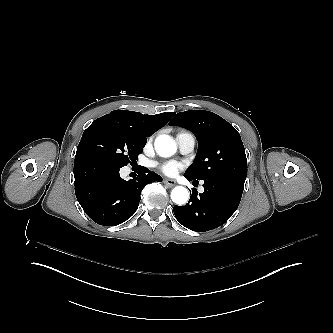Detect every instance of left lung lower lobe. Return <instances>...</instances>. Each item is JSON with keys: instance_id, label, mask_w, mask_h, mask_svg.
Instances as JSON below:
<instances>
[{"instance_id": "left-lung-lower-lobe-1", "label": "left lung lower lobe", "mask_w": 333, "mask_h": 333, "mask_svg": "<svg viewBox=\"0 0 333 333\" xmlns=\"http://www.w3.org/2000/svg\"><path fill=\"white\" fill-rule=\"evenodd\" d=\"M185 176V175H184ZM189 181L198 182L189 176ZM246 178L219 176L203 184L204 192L192 189L185 206H174L176 219L192 231H208L225 223L239 206Z\"/></svg>"}]
</instances>
